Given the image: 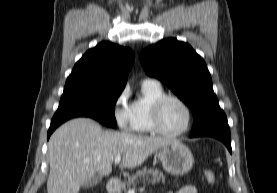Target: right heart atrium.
<instances>
[{"label":"right heart atrium","mask_w":277,"mask_h":193,"mask_svg":"<svg viewBox=\"0 0 277 193\" xmlns=\"http://www.w3.org/2000/svg\"><path fill=\"white\" fill-rule=\"evenodd\" d=\"M127 96V90H122L115 99L112 108L113 118L122 130H128L131 127V112L127 103Z\"/></svg>","instance_id":"right-heart-atrium-1"}]
</instances>
